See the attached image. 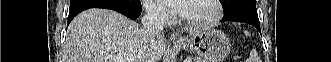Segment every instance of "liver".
I'll use <instances>...</instances> for the list:
<instances>
[{
	"instance_id": "obj_1",
	"label": "liver",
	"mask_w": 331,
	"mask_h": 62,
	"mask_svg": "<svg viewBox=\"0 0 331 62\" xmlns=\"http://www.w3.org/2000/svg\"><path fill=\"white\" fill-rule=\"evenodd\" d=\"M163 38L149 42L139 25L112 10L92 8L70 23L63 62H113L110 56L130 55L135 62H159Z\"/></svg>"
}]
</instances>
